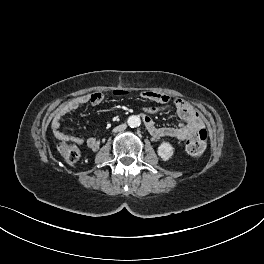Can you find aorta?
Masks as SVG:
<instances>
[{"mask_svg": "<svg viewBox=\"0 0 264 264\" xmlns=\"http://www.w3.org/2000/svg\"><path fill=\"white\" fill-rule=\"evenodd\" d=\"M127 123L131 128H136L140 126L141 120L138 116L132 115L128 118Z\"/></svg>", "mask_w": 264, "mask_h": 264, "instance_id": "obj_1", "label": "aorta"}]
</instances>
